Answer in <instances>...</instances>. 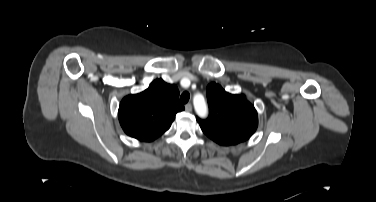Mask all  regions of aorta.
<instances>
[{"mask_svg":"<svg viewBox=\"0 0 376 202\" xmlns=\"http://www.w3.org/2000/svg\"><path fill=\"white\" fill-rule=\"evenodd\" d=\"M194 105H195V109H196L197 114L200 117H205L206 114H207V107H206V104H205V100L201 95L195 96Z\"/></svg>","mask_w":376,"mask_h":202,"instance_id":"762f6f07","label":"aorta"}]
</instances>
